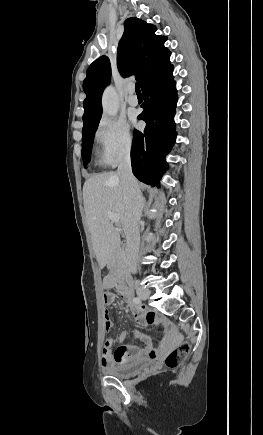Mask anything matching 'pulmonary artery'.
Returning a JSON list of instances; mask_svg holds the SVG:
<instances>
[{
	"instance_id": "e3ab8cb5",
	"label": "pulmonary artery",
	"mask_w": 263,
	"mask_h": 435,
	"mask_svg": "<svg viewBox=\"0 0 263 435\" xmlns=\"http://www.w3.org/2000/svg\"><path fill=\"white\" fill-rule=\"evenodd\" d=\"M129 97H128V103L131 105V106H137L138 105V103H139V101H138V98H137V96L134 94V87L133 86H131L130 88H129Z\"/></svg>"
}]
</instances>
